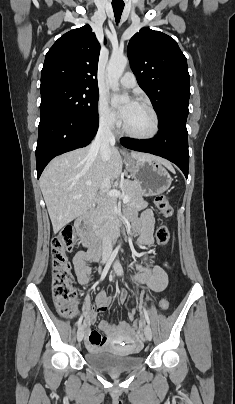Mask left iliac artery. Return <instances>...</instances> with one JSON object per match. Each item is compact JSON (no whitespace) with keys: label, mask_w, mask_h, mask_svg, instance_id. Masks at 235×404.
<instances>
[{"label":"left iliac artery","mask_w":235,"mask_h":404,"mask_svg":"<svg viewBox=\"0 0 235 404\" xmlns=\"http://www.w3.org/2000/svg\"><path fill=\"white\" fill-rule=\"evenodd\" d=\"M143 311H144L145 319H146L148 325H150V319H149V316H148V312L144 307H143Z\"/></svg>","instance_id":"obj_1"}]
</instances>
